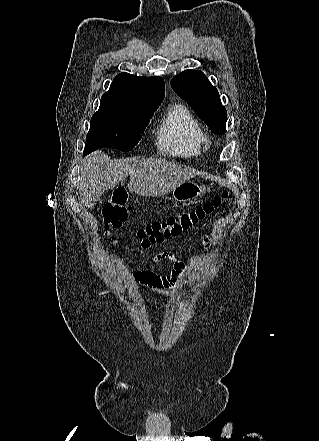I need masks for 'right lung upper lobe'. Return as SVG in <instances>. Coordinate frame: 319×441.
Segmentation results:
<instances>
[{"instance_id":"right-lung-upper-lobe-1","label":"right lung upper lobe","mask_w":319,"mask_h":441,"mask_svg":"<svg viewBox=\"0 0 319 441\" xmlns=\"http://www.w3.org/2000/svg\"><path fill=\"white\" fill-rule=\"evenodd\" d=\"M165 95L161 77H138L121 73L102 95L99 108L159 107Z\"/></svg>"}]
</instances>
